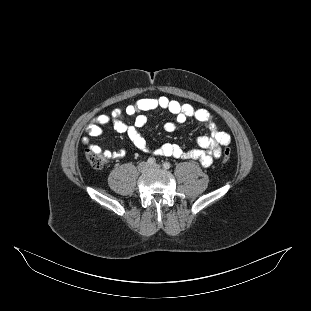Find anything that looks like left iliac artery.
Segmentation results:
<instances>
[{"mask_svg":"<svg viewBox=\"0 0 311 311\" xmlns=\"http://www.w3.org/2000/svg\"><path fill=\"white\" fill-rule=\"evenodd\" d=\"M163 167H164L165 169H169V168L171 167V164H170L169 162H164V163H163Z\"/></svg>","mask_w":311,"mask_h":311,"instance_id":"44dca946","label":"left iliac artery"}]
</instances>
